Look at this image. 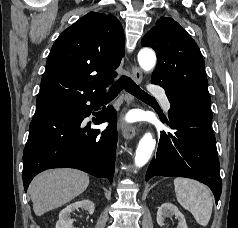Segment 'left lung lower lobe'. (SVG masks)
Masks as SVG:
<instances>
[{
  "label": "left lung lower lobe",
  "instance_id": "1",
  "mask_svg": "<svg viewBox=\"0 0 238 228\" xmlns=\"http://www.w3.org/2000/svg\"><path fill=\"white\" fill-rule=\"evenodd\" d=\"M168 119L159 116L173 130L161 132L156 157L146 180L154 176L187 177L210 187L216 204L221 195L219 160L211 126L212 114L168 96Z\"/></svg>",
  "mask_w": 238,
  "mask_h": 228
}]
</instances>
